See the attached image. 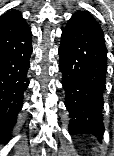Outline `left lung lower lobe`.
I'll use <instances>...</instances> for the list:
<instances>
[{"mask_svg":"<svg viewBox=\"0 0 114 156\" xmlns=\"http://www.w3.org/2000/svg\"><path fill=\"white\" fill-rule=\"evenodd\" d=\"M69 132L103 137V91L107 50L100 25L87 12H76L61 35L59 47Z\"/></svg>","mask_w":114,"mask_h":156,"instance_id":"0a47b994","label":"left lung lower lobe"}]
</instances>
